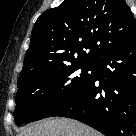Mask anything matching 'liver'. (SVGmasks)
Returning <instances> with one entry per match:
<instances>
[{
    "label": "liver",
    "instance_id": "obj_1",
    "mask_svg": "<svg viewBox=\"0 0 136 136\" xmlns=\"http://www.w3.org/2000/svg\"><path fill=\"white\" fill-rule=\"evenodd\" d=\"M19 136H100V134L78 121L54 118L28 125Z\"/></svg>",
    "mask_w": 136,
    "mask_h": 136
}]
</instances>
